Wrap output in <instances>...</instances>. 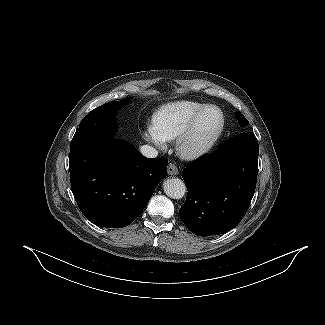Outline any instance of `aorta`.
Masks as SVG:
<instances>
[{"label":"aorta","instance_id":"aorta-1","mask_svg":"<svg viewBox=\"0 0 325 325\" xmlns=\"http://www.w3.org/2000/svg\"><path fill=\"white\" fill-rule=\"evenodd\" d=\"M163 189L165 194L173 199H181L186 192L185 183L179 178H169L165 180Z\"/></svg>","mask_w":325,"mask_h":325}]
</instances>
